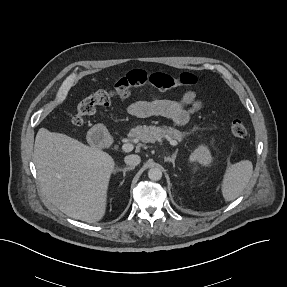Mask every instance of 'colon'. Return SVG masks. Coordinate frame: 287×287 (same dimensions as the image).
Here are the masks:
<instances>
[{
  "label": "colon",
  "mask_w": 287,
  "mask_h": 287,
  "mask_svg": "<svg viewBox=\"0 0 287 287\" xmlns=\"http://www.w3.org/2000/svg\"><path fill=\"white\" fill-rule=\"evenodd\" d=\"M197 83V77L189 72L180 74H168L163 72L147 73L144 70H133L122 77L110 90H98L89 97L78 102L76 113L73 117L75 128L80 127L84 119L92 115L97 107L109 106L114 99H126L133 91L151 85L167 90L176 87H189ZM233 135L245 138L247 128L240 119H233L229 125Z\"/></svg>",
  "instance_id": "obj_1"
}]
</instances>
